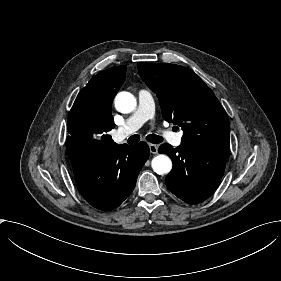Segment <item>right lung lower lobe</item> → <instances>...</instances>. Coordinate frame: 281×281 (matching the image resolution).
Returning a JSON list of instances; mask_svg holds the SVG:
<instances>
[{"mask_svg":"<svg viewBox=\"0 0 281 281\" xmlns=\"http://www.w3.org/2000/svg\"><path fill=\"white\" fill-rule=\"evenodd\" d=\"M66 147L78 190L102 211L118 207L132 193L150 153L145 142L131 146L77 142Z\"/></svg>","mask_w":281,"mask_h":281,"instance_id":"1","label":"right lung lower lobe"}]
</instances>
